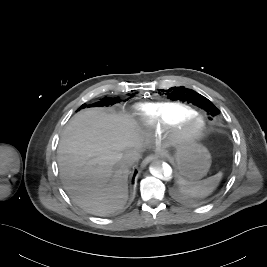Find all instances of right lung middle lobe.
Returning a JSON list of instances; mask_svg holds the SVG:
<instances>
[{"label": "right lung middle lobe", "instance_id": "right-lung-middle-lobe-1", "mask_svg": "<svg viewBox=\"0 0 267 267\" xmlns=\"http://www.w3.org/2000/svg\"><path fill=\"white\" fill-rule=\"evenodd\" d=\"M119 102V99L118 98H103L102 101L98 102L96 105H93V106H108V105H113L115 103ZM86 104L82 105V107H85ZM92 106V105H91Z\"/></svg>", "mask_w": 267, "mask_h": 267}]
</instances>
